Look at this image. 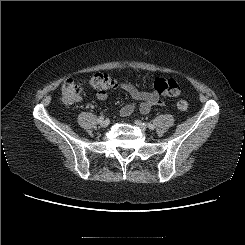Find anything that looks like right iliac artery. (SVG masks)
<instances>
[{"label":"right iliac artery","instance_id":"obj_1","mask_svg":"<svg viewBox=\"0 0 245 245\" xmlns=\"http://www.w3.org/2000/svg\"><path fill=\"white\" fill-rule=\"evenodd\" d=\"M103 119H104V116L103 115L100 116L99 119H98V123H101Z\"/></svg>","mask_w":245,"mask_h":245}]
</instances>
